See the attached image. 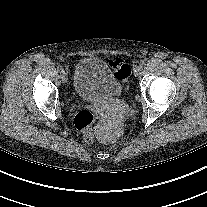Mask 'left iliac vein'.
<instances>
[{"label":"left iliac vein","mask_w":207,"mask_h":207,"mask_svg":"<svg viewBox=\"0 0 207 207\" xmlns=\"http://www.w3.org/2000/svg\"><path fill=\"white\" fill-rule=\"evenodd\" d=\"M141 66H136L135 69H134V75L135 76H139L141 74Z\"/></svg>","instance_id":"obj_1"}]
</instances>
